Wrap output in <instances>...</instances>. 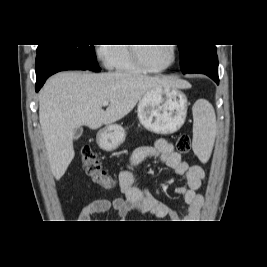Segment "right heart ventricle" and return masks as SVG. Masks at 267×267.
I'll use <instances>...</instances> for the list:
<instances>
[{"instance_id":"right-heart-ventricle-1","label":"right heart ventricle","mask_w":267,"mask_h":267,"mask_svg":"<svg viewBox=\"0 0 267 267\" xmlns=\"http://www.w3.org/2000/svg\"><path fill=\"white\" fill-rule=\"evenodd\" d=\"M111 67L118 72H142L131 57L130 48L124 44H117L112 47Z\"/></svg>"}]
</instances>
